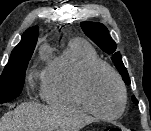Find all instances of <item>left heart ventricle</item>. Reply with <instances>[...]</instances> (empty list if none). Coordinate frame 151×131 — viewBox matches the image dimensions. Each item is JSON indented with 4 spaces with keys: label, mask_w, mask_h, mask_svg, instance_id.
<instances>
[{
    "label": "left heart ventricle",
    "mask_w": 151,
    "mask_h": 131,
    "mask_svg": "<svg viewBox=\"0 0 151 131\" xmlns=\"http://www.w3.org/2000/svg\"><path fill=\"white\" fill-rule=\"evenodd\" d=\"M93 106L103 114H115L121 105L120 91L113 76L105 69L95 71L88 81Z\"/></svg>",
    "instance_id": "1"
}]
</instances>
